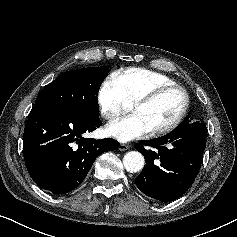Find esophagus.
I'll use <instances>...</instances> for the list:
<instances>
[{
    "label": "esophagus",
    "mask_w": 237,
    "mask_h": 237,
    "mask_svg": "<svg viewBox=\"0 0 237 237\" xmlns=\"http://www.w3.org/2000/svg\"><path fill=\"white\" fill-rule=\"evenodd\" d=\"M129 149V145H127V144H120L119 145V150L120 151H125V150H128Z\"/></svg>",
    "instance_id": "esophagus-1"
}]
</instances>
